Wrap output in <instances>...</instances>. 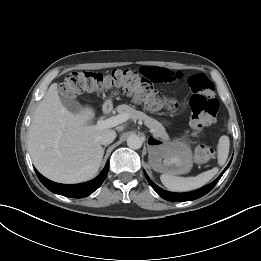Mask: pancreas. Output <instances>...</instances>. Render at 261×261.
<instances>
[{"label":"pancreas","instance_id":"1","mask_svg":"<svg viewBox=\"0 0 261 261\" xmlns=\"http://www.w3.org/2000/svg\"><path fill=\"white\" fill-rule=\"evenodd\" d=\"M116 110L119 114L127 113L129 115V118L132 120H138V119L143 120L144 124L151 129V131L156 137H162L164 139L167 137L163 125L159 123L157 120L147 116L143 112L137 111L134 108L125 104L119 105L116 108Z\"/></svg>","mask_w":261,"mask_h":261}]
</instances>
